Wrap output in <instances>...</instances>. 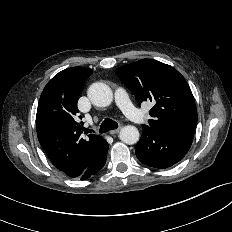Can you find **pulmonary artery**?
Listing matches in <instances>:
<instances>
[{"mask_svg": "<svg viewBox=\"0 0 232 232\" xmlns=\"http://www.w3.org/2000/svg\"><path fill=\"white\" fill-rule=\"evenodd\" d=\"M115 101L118 107L129 119L136 123H143L145 121V117L133 106L124 89L119 88L116 90Z\"/></svg>", "mask_w": 232, "mask_h": 232, "instance_id": "obj_1", "label": "pulmonary artery"}]
</instances>
